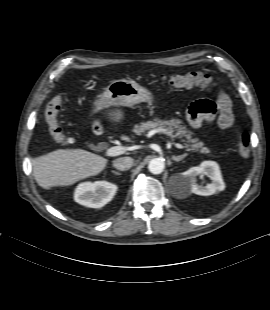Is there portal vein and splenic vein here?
Returning a JSON list of instances; mask_svg holds the SVG:
<instances>
[{
    "label": "portal vein and splenic vein",
    "instance_id": "portal-vein-and-splenic-vein-1",
    "mask_svg": "<svg viewBox=\"0 0 270 310\" xmlns=\"http://www.w3.org/2000/svg\"><path fill=\"white\" fill-rule=\"evenodd\" d=\"M175 146L179 149H183L184 146L182 144L179 143H175ZM126 151V148L123 146H114V147H110L106 150L105 154L106 156H118L123 154Z\"/></svg>",
    "mask_w": 270,
    "mask_h": 310
}]
</instances>
